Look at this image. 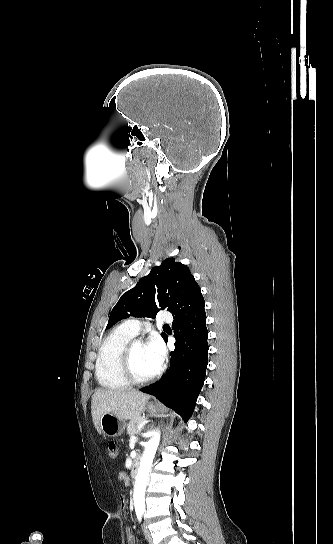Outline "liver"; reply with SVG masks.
<instances>
[{
  "label": "liver",
  "mask_w": 333,
  "mask_h": 544,
  "mask_svg": "<svg viewBox=\"0 0 333 544\" xmlns=\"http://www.w3.org/2000/svg\"><path fill=\"white\" fill-rule=\"evenodd\" d=\"M149 395L136 390L111 389L97 390L91 401V414L94 426L100 433V419L105 413H112L125 420H134L143 412Z\"/></svg>",
  "instance_id": "6515ba94"
}]
</instances>
